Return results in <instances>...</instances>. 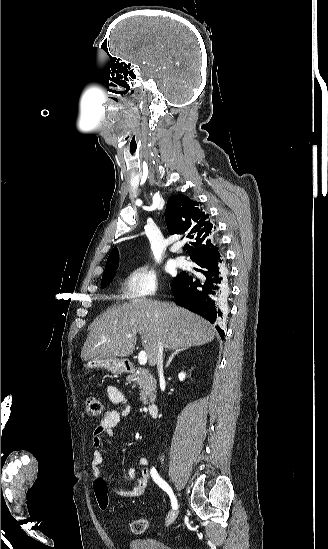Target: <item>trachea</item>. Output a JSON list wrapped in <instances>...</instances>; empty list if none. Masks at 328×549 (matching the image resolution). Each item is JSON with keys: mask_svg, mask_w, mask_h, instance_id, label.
Instances as JSON below:
<instances>
[{"mask_svg": "<svg viewBox=\"0 0 328 549\" xmlns=\"http://www.w3.org/2000/svg\"><path fill=\"white\" fill-rule=\"evenodd\" d=\"M187 249H188V245H185V246H184V250H187Z\"/></svg>", "mask_w": 328, "mask_h": 549, "instance_id": "3493384b", "label": "trachea"}]
</instances>
